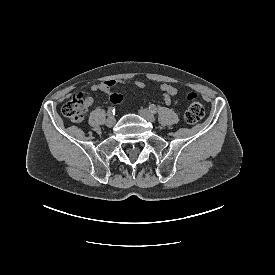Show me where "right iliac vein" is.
<instances>
[{
    "label": "right iliac vein",
    "instance_id": "obj_1",
    "mask_svg": "<svg viewBox=\"0 0 275 275\" xmlns=\"http://www.w3.org/2000/svg\"><path fill=\"white\" fill-rule=\"evenodd\" d=\"M115 123H116V119L113 116L108 117V119L106 120V125L108 127H113Z\"/></svg>",
    "mask_w": 275,
    "mask_h": 275
}]
</instances>
